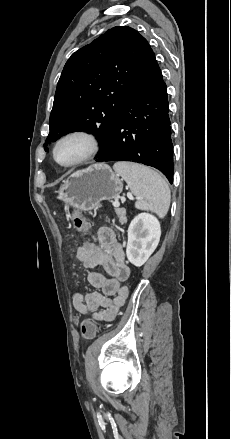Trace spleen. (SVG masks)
Instances as JSON below:
<instances>
[{"instance_id": "obj_1", "label": "spleen", "mask_w": 231, "mask_h": 439, "mask_svg": "<svg viewBox=\"0 0 231 439\" xmlns=\"http://www.w3.org/2000/svg\"><path fill=\"white\" fill-rule=\"evenodd\" d=\"M113 169L137 197V209L150 210L160 218L165 217L170 206V189L156 171L130 162L115 163Z\"/></svg>"}]
</instances>
